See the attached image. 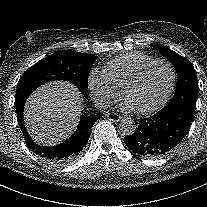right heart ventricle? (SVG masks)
<instances>
[{
    "label": "right heart ventricle",
    "mask_w": 207,
    "mask_h": 207,
    "mask_svg": "<svg viewBox=\"0 0 207 207\" xmlns=\"http://www.w3.org/2000/svg\"><path fill=\"white\" fill-rule=\"evenodd\" d=\"M154 57L142 52L122 54L111 60L104 69L103 74L110 84L121 93L126 82L146 63Z\"/></svg>",
    "instance_id": "e07e8e85"
}]
</instances>
